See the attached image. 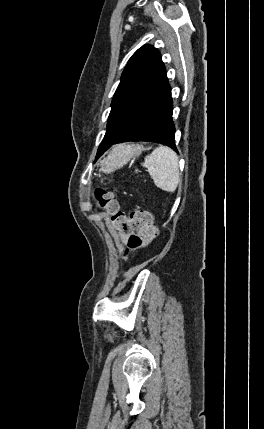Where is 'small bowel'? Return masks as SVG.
Listing matches in <instances>:
<instances>
[{
  "label": "small bowel",
  "mask_w": 264,
  "mask_h": 429,
  "mask_svg": "<svg viewBox=\"0 0 264 429\" xmlns=\"http://www.w3.org/2000/svg\"><path fill=\"white\" fill-rule=\"evenodd\" d=\"M121 237H122V239H123L124 241H126V240H127V238H128V235H127L126 233H124V234H122V235H121Z\"/></svg>",
  "instance_id": "1"
}]
</instances>
